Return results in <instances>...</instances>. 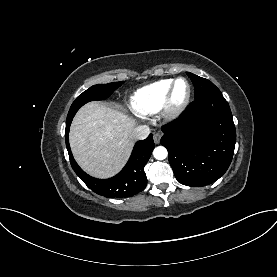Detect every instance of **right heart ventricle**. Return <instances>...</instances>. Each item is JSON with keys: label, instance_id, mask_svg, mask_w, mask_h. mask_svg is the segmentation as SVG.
<instances>
[{"label": "right heart ventricle", "instance_id": "obj_1", "mask_svg": "<svg viewBox=\"0 0 277 277\" xmlns=\"http://www.w3.org/2000/svg\"><path fill=\"white\" fill-rule=\"evenodd\" d=\"M174 79H164L144 86L131 97V107L142 115H152L162 109Z\"/></svg>", "mask_w": 277, "mask_h": 277}]
</instances>
